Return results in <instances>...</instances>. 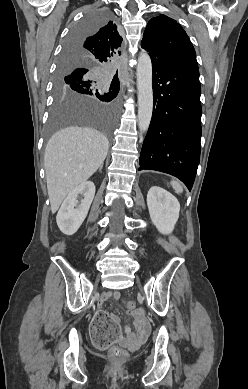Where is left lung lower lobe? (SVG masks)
Listing matches in <instances>:
<instances>
[{"label": "left lung lower lobe", "mask_w": 248, "mask_h": 389, "mask_svg": "<svg viewBox=\"0 0 248 389\" xmlns=\"http://www.w3.org/2000/svg\"><path fill=\"white\" fill-rule=\"evenodd\" d=\"M151 60L154 107L138 170L171 174L191 190L200 161L198 64L195 59Z\"/></svg>", "instance_id": "1"}]
</instances>
